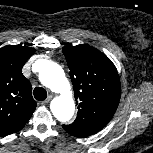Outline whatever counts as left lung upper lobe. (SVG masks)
<instances>
[{
    "instance_id": "1",
    "label": "left lung upper lobe",
    "mask_w": 153,
    "mask_h": 153,
    "mask_svg": "<svg viewBox=\"0 0 153 153\" xmlns=\"http://www.w3.org/2000/svg\"><path fill=\"white\" fill-rule=\"evenodd\" d=\"M62 51L78 105L75 121L62 127L73 136L87 137L112 119L121 94L119 76L112 61L92 46H65Z\"/></svg>"
}]
</instances>
